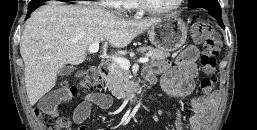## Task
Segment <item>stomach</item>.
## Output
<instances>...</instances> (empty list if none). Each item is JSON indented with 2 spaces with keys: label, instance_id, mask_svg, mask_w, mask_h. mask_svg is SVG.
<instances>
[{
  "label": "stomach",
  "instance_id": "0dacf381",
  "mask_svg": "<svg viewBox=\"0 0 257 130\" xmlns=\"http://www.w3.org/2000/svg\"><path fill=\"white\" fill-rule=\"evenodd\" d=\"M148 35L154 46L172 52L185 43L187 27L177 15H165L149 28Z\"/></svg>",
  "mask_w": 257,
  "mask_h": 130
}]
</instances>
